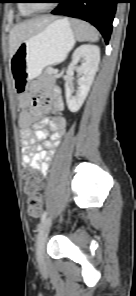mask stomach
Instances as JSON below:
<instances>
[{
  "label": "stomach",
  "mask_w": 136,
  "mask_h": 296,
  "mask_svg": "<svg viewBox=\"0 0 136 296\" xmlns=\"http://www.w3.org/2000/svg\"><path fill=\"white\" fill-rule=\"evenodd\" d=\"M74 42L75 34L66 18L51 21L23 41L10 61L17 94H27V85L24 84L38 78L46 67L62 62Z\"/></svg>",
  "instance_id": "obj_1"
}]
</instances>
